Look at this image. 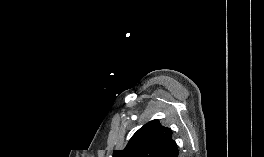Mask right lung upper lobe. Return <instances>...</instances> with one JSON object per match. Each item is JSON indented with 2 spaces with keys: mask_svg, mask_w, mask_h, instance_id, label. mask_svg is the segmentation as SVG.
<instances>
[{
  "mask_svg": "<svg viewBox=\"0 0 264 157\" xmlns=\"http://www.w3.org/2000/svg\"><path fill=\"white\" fill-rule=\"evenodd\" d=\"M172 131L152 120L141 127L124 150H115L113 157H178Z\"/></svg>",
  "mask_w": 264,
  "mask_h": 157,
  "instance_id": "1",
  "label": "right lung upper lobe"
}]
</instances>
